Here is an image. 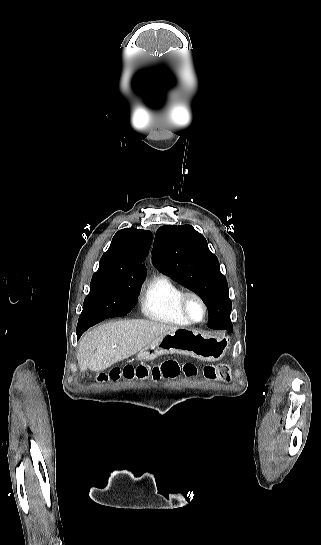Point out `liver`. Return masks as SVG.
<instances>
[{
    "label": "liver",
    "mask_w": 321,
    "mask_h": 545,
    "mask_svg": "<svg viewBox=\"0 0 321 545\" xmlns=\"http://www.w3.org/2000/svg\"><path fill=\"white\" fill-rule=\"evenodd\" d=\"M179 327L164 325L158 321H115L105 323L92 331H88L79 341L77 361L80 371H105L114 363L132 357L142 351L146 345L166 335L173 333Z\"/></svg>",
    "instance_id": "1"
}]
</instances>
